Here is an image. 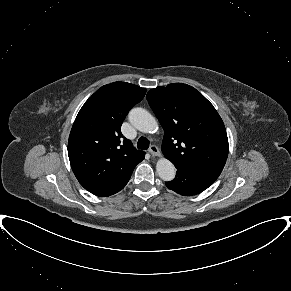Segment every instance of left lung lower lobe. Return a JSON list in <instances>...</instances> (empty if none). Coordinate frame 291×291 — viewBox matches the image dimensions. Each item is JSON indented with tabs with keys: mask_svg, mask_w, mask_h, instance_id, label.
I'll use <instances>...</instances> for the list:
<instances>
[{
	"mask_svg": "<svg viewBox=\"0 0 291 291\" xmlns=\"http://www.w3.org/2000/svg\"><path fill=\"white\" fill-rule=\"evenodd\" d=\"M176 177L166 186L181 195L192 196L210 187L221 172L175 165Z\"/></svg>",
	"mask_w": 291,
	"mask_h": 291,
	"instance_id": "1",
	"label": "left lung lower lobe"
}]
</instances>
